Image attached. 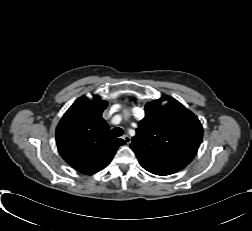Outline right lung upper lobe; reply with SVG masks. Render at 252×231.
Returning a JSON list of instances; mask_svg holds the SVG:
<instances>
[{
    "instance_id": "1",
    "label": "right lung upper lobe",
    "mask_w": 252,
    "mask_h": 231,
    "mask_svg": "<svg viewBox=\"0 0 252 231\" xmlns=\"http://www.w3.org/2000/svg\"><path fill=\"white\" fill-rule=\"evenodd\" d=\"M108 103L94 96L78 98L62 117L56 130L58 151L64 160L83 174L105 168L124 140L112 137L102 118Z\"/></svg>"
}]
</instances>
